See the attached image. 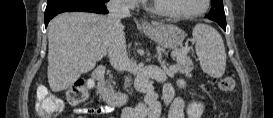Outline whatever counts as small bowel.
I'll list each match as a JSON object with an SVG mask.
<instances>
[{
	"mask_svg": "<svg viewBox=\"0 0 273 118\" xmlns=\"http://www.w3.org/2000/svg\"><path fill=\"white\" fill-rule=\"evenodd\" d=\"M178 85L181 89L185 88V82L180 80ZM162 99L164 102V109L155 95L149 96V118H185L184 100L182 97L175 96V88L170 82H166L162 89ZM111 108L109 106H99L94 108H78L75 113L79 115H102L109 113Z\"/></svg>",
	"mask_w": 273,
	"mask_h": 118,
	"instance_id": "obj_1",
	"label": "small bowel"
}]
</instances>
